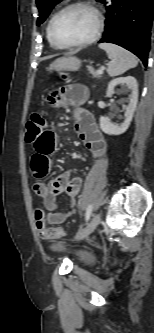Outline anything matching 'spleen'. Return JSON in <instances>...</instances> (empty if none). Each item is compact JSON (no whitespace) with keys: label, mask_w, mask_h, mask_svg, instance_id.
I'll return each mask as SVG.
<instances>
[{"label":"spleen","mask_w":154,"mask_h":333,"mask_svg":"<svg viewBox=\"0 0 154 333\" xmlns=\"http://www.w3.org/2000/svg\"><path fill=\"white\" fill-rule=\"evenodd\" d=\"M99 47L106 51L111 60L107 69L111 77L121 75L127 70L136 67L138 64L135 55L120 46L110 43H101Z\"/></svg>","instance_id":"spleen-1"}]
</instances>
